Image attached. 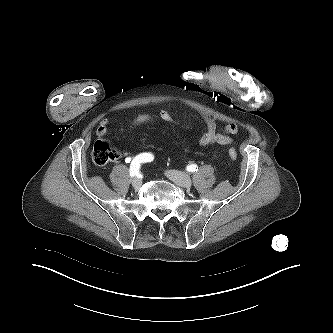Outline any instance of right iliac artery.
<instances>
[{
    "label": "right iliac artery",
    "instance_id": "obj_1",
    "mask_svg": "<svg viewBox=\"0 0 333 333\" xmlns=\"http://www.w3.org/2000/svg\"><path fill=\"white\" fill-rule=\"evenodd\" d=\"M154 156L151 153H141L137 155L131 162L129 173L131 177L136 176L140 170V164L153 161ZM130 162V158H129Z\"/></svg>",
    "mask_w": 333,
    "mask_h": 333
}]
</instances>
